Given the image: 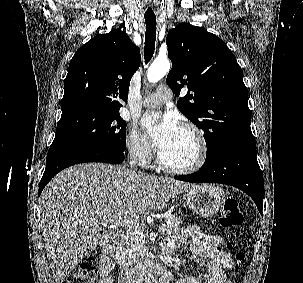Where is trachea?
Returning a JSON list of instances; mask_svg holds the SVG:
<instances>
[{"label":"trachea","mask_w":303,"mask_h":283,"mask_svg":"<svg viewBox=\"0 0 303 283\" xmlns=\"http://www.w3.org/2000/svg\"><path fill=\"white\" fill-rule=\"evenodd\" d=\"M146 23L144 56L145 63H148L153 57L156 41V17L144 16Z\"/></svg>","instance_id":"3493384b"}]
</instances>
